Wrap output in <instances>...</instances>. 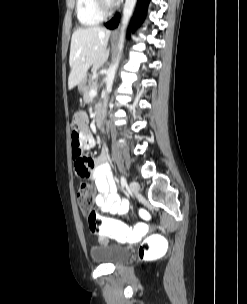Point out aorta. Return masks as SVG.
Listing matches in <instances>:
<instances>
[{
	"mask_svg": "<svg viewBox=\"0 0 247 304\" xmlns=\"http://www.w3.org/2000/svg\"><path fill=\"white\" fill-rule=\"evenodd\" d=\"M137 0H125L124 9H123V18H122V24H121V31H120V37H119V43H118V55L114 63L109 67L107 71V75L105 78L106 83V97L104 100V116L106 113V107H107V97L109 92L112 90V85L115 78V73L118 67L120 53L123 49L124 41H125V31L126 27L128 25V22L130 20V17L132 15L133 9L135 7Z\"/></svg>",
	"mask_w": 247,
	"mask_h": 304,
	"instance_id": "obj_1",
	"label": "aorta"
}]
</instances>
